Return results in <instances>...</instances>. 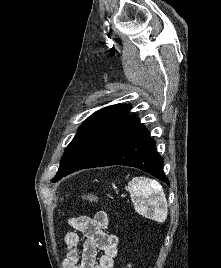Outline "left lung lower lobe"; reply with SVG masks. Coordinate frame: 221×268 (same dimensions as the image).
<instances>
[{
	"label": "left lung lower lobe",
	"instance_id": "0a47b994",
	"mask_svg": "<svg viewBox=\"0 0 221 268\" xmlns=\"http://www.w3.org/2000/svg\"><path fill=\"white\" fill-rule=\"evenodd\" d=\"M156 142L137 117L125 114L104 129L58 178L85 168L126 165L144 170L170 185Z\"/></svg>",
	"mask_w": 221,
	"mask_h": 268
}]
</instances>
